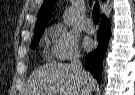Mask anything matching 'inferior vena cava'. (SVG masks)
Returning <instances> with one entry per match:
<instances>
[{
	"mask_svg": "<svg viewBox=\"0 0 135 95\" xmlns=\"http://www.w3.org/2000/svg\"><path fill=\"white\" fill-rule=\"evenodd\" d=\"M70 66L74 72L78 73L82 77L83 82L86 85L83 95H91L92 86L89 83V76L87 72L83 70L79 55L71 61Z\"/></svg>",
	"mask_w": 135,
	"mask_h": 95,
	"instance_id": "1",
	"label": "inferior vena cava"
}]
</instances>
